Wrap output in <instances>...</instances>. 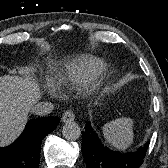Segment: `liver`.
<instances>
[{
	"label": "liver",
	"instance_id": "6515ba94",
	"mask_svg": "<svg viewBox=\"0 0 168 168\" xmlns=\"http://www.w3.org/2000/svg\"><path fill=\"white\" fill-rule=\"evenodd\" d=\"M39 98L38 84L29 73L0 76V147L11 144L21 134Z\"/></svg>",
	"mask_w": 168,
	"mask_h": 168
}]
</instances>
